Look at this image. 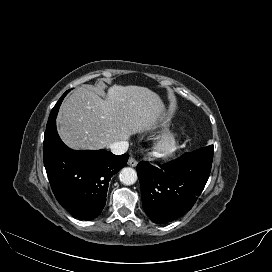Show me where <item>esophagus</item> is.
Segmentation results:
<instances>
[{
  "mask_svg": "<svg viewBox=\"0 0 272 272\" xmlns=\"http://www.w3.org/2000/svg\"><path fill=\"white\" fill-rule=\"evenodd\" d=\"M128 165L131 167H136L137 166V161L134 158H129L128 160Z\"/></svg>",
  "mask_w": 272,
  "mask_h": 272,
  "instance_id": "34e87169",
  "label": "esophagus"
}]
</instances>
